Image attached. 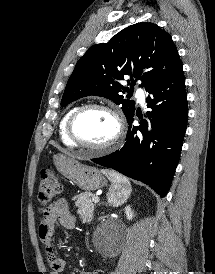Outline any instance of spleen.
Masks as SVG:
<instances>
[{"label":"spleen","instance_id":"3e777b00","mask_svg":"<svg viewBox=\"0 0 215 274\" xmlns=\"http://www.w3.org/2000/svg\"><path fill=\"white\" fill-rule=\"evenodd\" d=\"M101 172L111 181V187L107 195L108 202L113 206L120 205L122 202V196L131 191L129 180L112 170L104 169Z\"/></svg>","mask_w":215,"mask_h":274}]
</instances>
